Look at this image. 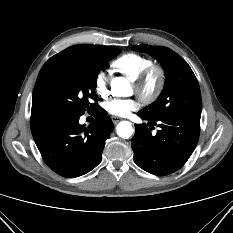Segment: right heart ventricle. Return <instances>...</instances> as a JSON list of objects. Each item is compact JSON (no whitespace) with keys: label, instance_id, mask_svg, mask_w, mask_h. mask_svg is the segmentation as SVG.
<instances>
[{"label":"right heart ventricle","instance_id":"obj_1","mask_svg":"<svg viewBox=\"0 0 233 233\" xmlns=\"http://www.w3.org/2000/svg\"><path fill=\"white\" fill-rule=\"evenodd\" d=\"M152 60L139 53H125L116 58L111 67L114 71L133 80L141 71L152 64Z\"/></svg>","mask_w":233,"mask_h":233}]
</instances>
